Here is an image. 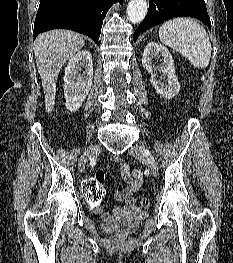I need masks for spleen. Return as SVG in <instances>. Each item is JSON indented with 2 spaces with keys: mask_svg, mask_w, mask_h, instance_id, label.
I'll list each match as a JSON object with an SVG mask.
<instances>
[{
  "mask_svg": "<svg viewBox=\"0 0 233 263\" xmlns=\"http://www.w3.org/2000/svg\"><path fill=\"white\" fill-rule=\"evenodd\" d=\"M160 41L179 52L195 68L205 69L211 59V43L206 30L191 18H175L159 29Z\"/></svg>",
  "mask_w": 233,
  "mask_h": 263,
  "instance_id": "obj_1",
  "label": "spleen"
}]
</instances>
